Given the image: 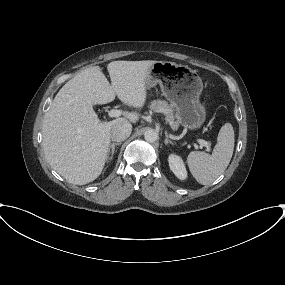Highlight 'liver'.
Segmentation results:
<instances>
[{"label": "liver", "mask_w": 285, "mask_h": 285, "mask_svg": "<svg viewBox=\"0 0 285 285\" xmlns=\"http://www.w3.org/2000/svg\"><path fill=\"white\" fill-rule=\"evenodd\" d=\"M155 61H113L107 66L111 84L99 66L84 69L57 93L44 115L42 146L47 161L68 182L84 185L101 174L110 146V131L124 121L137 122L139 114L99 120L94 104L112 102L115 96L133 107L146 101V79Z\"/></svg>", "instance_id": "6515ba94"}]
</instances>
